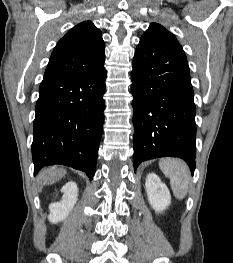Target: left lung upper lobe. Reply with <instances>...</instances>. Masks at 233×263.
Listing matches in <instances>:
<instances>
[{
    "mask_svg": "<svg viewBox=\"0 0 233 263\" xmlns=\"http://www.w3.org/2000/svg\"><path fill=\"white\" fill-rule=\"evenodd\" d=\"M140 41L180 46L173 34L167 31L163 26L156 23H152L149 26L148 30L140 38Z\"/></svg>",
    "mask_w": 233,
    "mask_h": 263,
    "instance_id": "1",
    "label": "left lung upper lobe"
}]
</instances>
